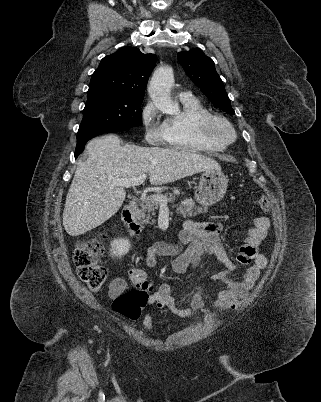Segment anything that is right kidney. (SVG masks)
Returning <instances> with one entry per match:
<instances>
[{"label": "right kidney", "instance_id": "1", "mask_svg": "<svg viewBox=\"0 0 321 402\" xmlns=\"http://www.w3.org/2000/svg\"><path fill=\"white\" fill-rule=\"evenodd\" d=\"M131 248V243L128 239L119 238L111 242L110 254L113 257H121L126 255Z\"/></svg>", "mask_w": 321, "mask_h": 402}]
</instances>
